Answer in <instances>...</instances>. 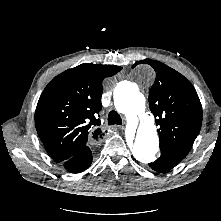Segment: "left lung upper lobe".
I'll return each instance as SVG.
<instances>
[{
    "instance_id": "obj_1",
    "label": "left lung upper lobe",
    "mask_w": 221,
    "mask_h": 221,
    "mask_svg": "<svg viewBox=\"0 0 221 221\" xmlns=\"http://www.w3.org/2000/svg\"><path fill=\"white\" fill-rule=\"evenodd\" d=\"M156 71L149 107L159 126L160 148L188 154L202 124V106L193 85L179 72L151 59L141 60Z\"/></svg>"
}]
</instances>
